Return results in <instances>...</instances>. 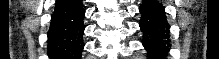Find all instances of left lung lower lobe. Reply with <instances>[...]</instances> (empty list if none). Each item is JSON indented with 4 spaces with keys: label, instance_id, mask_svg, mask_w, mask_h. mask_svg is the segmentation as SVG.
Wrapping results in <instances>:
<instances>
[{
    "label": "left lung lower lobe",
    "instance_id": "obj_1",
    "mask_svg": "<svg viewBox=\"0 0 219 59\" xmlns=\"http://www.w3.org/2000/svg\"><path fill=\"white\" fill-rule=\"evenodd\" d=\"M142 18L140 28L144 34L143 45L149 59H166L170 49L169 25L162 4L147 0L139 8Z\"/></svg>",
    "mask_w": 219,
    "mask_h": 59
}]
</instances>
